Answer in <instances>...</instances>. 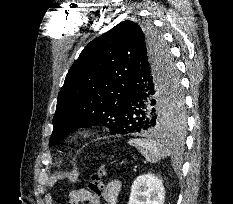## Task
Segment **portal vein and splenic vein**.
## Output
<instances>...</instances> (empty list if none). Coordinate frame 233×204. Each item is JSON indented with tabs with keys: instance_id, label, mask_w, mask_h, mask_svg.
I'll use <instances>...</instances> for the list:
<instances>
[{
	"instance_id": "portal-vein-and-splenic-vein-1",
	"label": "portal vein and splenic vein",
	"mask_w": 233,
	"mask_h": 204,
	"mask_svg": "<svg viewBox=\"0 0 233 204\" xmlns=\"http://www.w3.org/2000/svg\"><path fill=\"white\" fill-rule=\"evenodd\" d=\"M136 170H137V166L134 167V171H136Z\"/></svg>"
}]
</instances>
